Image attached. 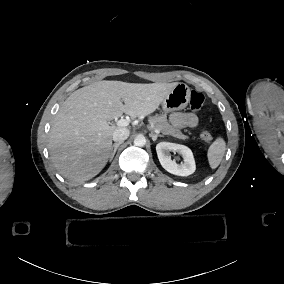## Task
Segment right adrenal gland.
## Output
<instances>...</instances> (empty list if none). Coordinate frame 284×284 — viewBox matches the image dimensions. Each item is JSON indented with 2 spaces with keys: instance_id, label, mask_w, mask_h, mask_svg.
<instances>
[{
  "instance_id": "1",
  "label": "right adrenal gland",
  "mask_w": 284,
  "mask_h": 284,
  "mask_svg": "<svg viewBox=\"0 0 284 284\" xmlns=\"http://www.w3.org/2000/svg\"><path fill=\"white\" fill-rule=\"evenodd\" d=\"M121 144H122V143L120 142V143H114V144L112 145V148H111L112 153H111V155H110V161L113 160L114 155H115V153H116L118 147H119Z\"/></svg>"
}]
</instances>
